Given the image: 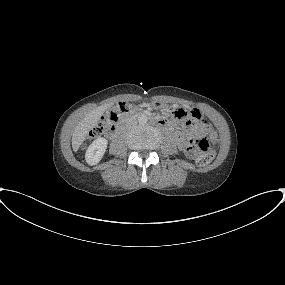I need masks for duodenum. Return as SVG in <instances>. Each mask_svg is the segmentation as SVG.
Listing matches in <instances>:
<instances>
[{
  "label": "duodenum",
  "instance_id": "obj_1",
  "mask_svg": "<svg viewBox=\"0 0 285 285\" xmlns=\"http://www.w3.org/2000/svg\"><path fill=\"white\" fill-rule=\"evenodd\" d=\"M158 124H164V120L163 119H159V118H156V119H154ZM110 128H111V131L112 132H116V131H118V129L120 128V125L119 124H112L111 126H110Z\"/></svg>",
  "mask_w": 285,
  "mask_h": 285
}]
</instances>
